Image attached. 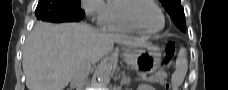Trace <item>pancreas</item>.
Returning <instances> with one entry per match:
<instances>
[{
	"mask_svg": "<svg viewBox=\"0 0 228 90\" xmlns=\"http://www.w3.org/2000/svg\"><path fill=\"white\" fill-rule=\"evenodd\" d=\"M150 82H159L161 84L165 83L166 81L162 78V76H152L148 79Z\"/></svg>",
	"mask_w": 228,
	"mask_h": 90,
	"instance_id": "cf45deb5",
	"label": "pancreas"
}]
</instances>
